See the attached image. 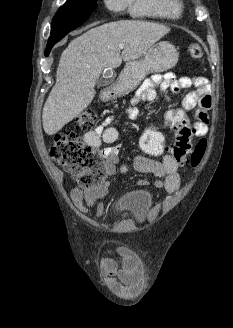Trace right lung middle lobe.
<instances>
[{"label": "right lung middle lobe", "mask_w": 233, "mask_h": 328, "mask_svg": "<svg viewBox=\"0 0 233 328\" xmlns=\"http://www.w3.org/2000/svg\"><path fill=\"white\" fill-rule=\"evenodd\" d=\"M96 8L97 0H67L53 20L87 19Z\"/></svg>", "instance_id": "dd1d6c3e"}]
</instances>
